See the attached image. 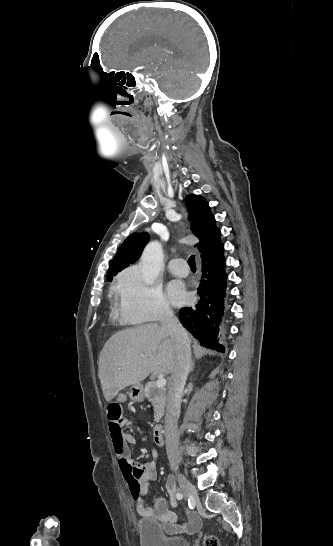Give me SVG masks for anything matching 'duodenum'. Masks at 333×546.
<instances>
[{"instance_id": "duodenum-1", "label": "duodenum", "mask_w": 333, "mask_h": 546, "mask_svg": "<svg viewBox=\"0 0 333 546\" xmlns=\"http://www.w3.org/2000/svg\"><path fill=\"white\" fill-rule=\"evenodd\" d=\"M153 439H154V442L159 445V446H162L164 445L165 443V436H164V428L163 426L161 425H158L154 428V431H153Z\"/></svg>"}]
</instances>
